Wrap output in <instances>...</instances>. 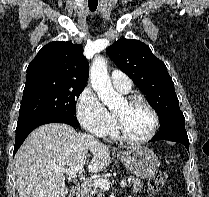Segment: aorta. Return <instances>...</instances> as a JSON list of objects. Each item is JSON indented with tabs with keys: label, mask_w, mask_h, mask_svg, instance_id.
<instances>
[{
	"label": "aorta",
	"mask_w": 209,
	"mask_h": 197,
	"mask_svg": "<svg viewBox=\"0 0 209 197\" xmlns=\"http://www.w3.org/2000/svg\"><path fill=\"white\" fill-rule=\"evenodd\" d=\"M91 84L101 101L109 108L119 105L122 98L111 83L107 71V61L102 56H96L90 68Z\"/></svg>",
	"instance_id": "762f6f07"
}]
</instances>
